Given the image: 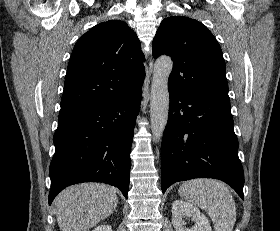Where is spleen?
I'll return each mask as SVG.
<instances>
[{
    "label": "spleen",
    "instance_id": "spleen-1",
    "mask_svg": "<svg viewBox=\"0 0 280 231\" xmlns=\"http://www.w3.org/2000/svg\"><path fill=\"white\" fill-rule=\"evenodd\" d=\"M180 197L209 213L215 231H232L236 221V205L232 193L217 179H190L179 189Z\"/></svg>",
    "mask_w": 280,
    "mask_h": 231
}]
</instances>
